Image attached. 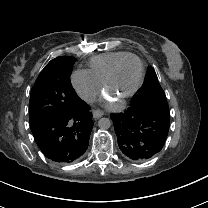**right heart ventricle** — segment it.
Wrapping results in <instances>:
<instances>
[{
    "mask_svg": "<svg viewBox=\"0 0 208 208\" xmlns=\"http://www.w3.org/2000/svg\"><path fill=\"white\" fill-rule=\"evenodd\" d=\"M126 54L127 52L124 51H114L95 56L88 62L87 73L102 86L113 64Z\"/></svg>",
    "mask_w": 208,
    "mask_h": 208,
    "instance_id": "1",
    "label": "right heart ventricle"
}]
</instances>
